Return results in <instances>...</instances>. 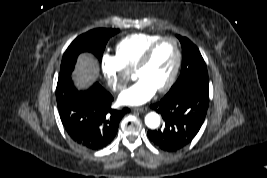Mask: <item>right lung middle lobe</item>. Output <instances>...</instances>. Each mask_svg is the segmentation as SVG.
Returning a JSON list of instances; mask_svg holds the SVG:
<instances>
[{
    "label": "right lung middle lobe",
    "mask_w": 267,
    "mask_h": 178,
    "mask_svg": "<svg viewBox=\"0 0 267 178\" xmlns=\"http://www.w3.org/2000/svg\"><path fill=\"white\" fill-rule=\"evenodd\" d=\"M118 32V29L99 28L77 37L63 55L59 78L71 75L77 57L82 52H90L101 60L108 39Z\"/></svg>",
    "instance_id": "right-lung-middle-lobe-1"
}]
</instances>
